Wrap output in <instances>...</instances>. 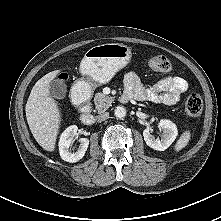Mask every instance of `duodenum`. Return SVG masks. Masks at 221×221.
I'll list each match as a JSON object with an SVG mask.
<instances>
[{"mask_svg": "<svg viewBox=\"0 0 221 221\" xmlns=\"http://www.w3.org/2000/svg\"><path fill=\"white\" fill-rule=\"evenodd\" d=\"M72 100L75 104L79 105L80 107V120L84 124H89L92 121V114L90 107L85 104L84 100L81 98V96L74 92L72 94Z\"/></svg>", "mask_w": 221, "mask_h": 221, "instance_id": "1", "label": "duodenum"}]
</instances>
